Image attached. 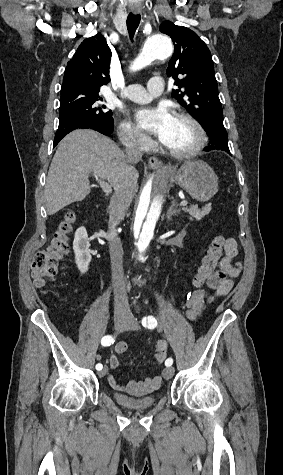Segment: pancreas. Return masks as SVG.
<instances>
[{"mask_svg": "<svg viewBox=\"0 0 283 475\" xmlns=\"http://www.w3.org/2000/svg\"><path fill=\"white\" fill-rule=\"evenodd\" d=\"M183 212H188L190 214L191 218L189 220H202L204 216H207L209 212H211V206H204V208H198L197 204L195 206H189V208H184Z\"/></svg>", "mask_w": 283, "mask_h": 475, "instance_id": "cf45deb5", "label": "pancreas"}]
</instances>
